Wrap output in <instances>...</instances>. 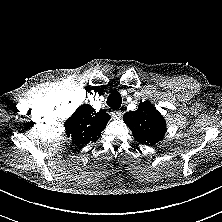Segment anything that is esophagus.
<instances>
[{
    "label": "esophagus",
    "instance_id": "1",
    "mask_svg": "<svg viewBox=\"0 0 222 222\" xmlns=\"http://www.w3.org/2000/svg\"><path fill=\"white\" fill-rule=\"evenodd\" d=\"M111 115H112V117H113L114 119H120L121 116H122V111H120V110H113V111L111 112Z\"/></svg>",
    "mask_w": 222,
    "mask_h": 222
}]
</instances>
